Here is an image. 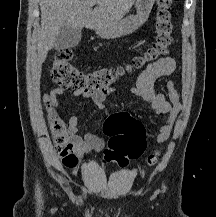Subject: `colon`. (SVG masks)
Returning <instances> with one entry per match:
<instances>
[{
  "label": "colon",
  "mask_w": 216,
  "mask_h": 217,
  "mask_svg": "<svg viewBox=\"0 0 216 217\" xmlns=\"http://www.w3.org/2000/svg\"><path fill=\"white\" fill-rule=\"evenodd\" d=\"M177 0H157L154 41L142 54L135 56L128 65L117 69L102 68L83 71L72 65L73 51L69 48L57 51L51 63V78L65 88L73 90H97L112 85L125 72L138 70L147 64L166 57L173 43L172 6ZM48 122L55 143V149L65 166L73 168L78 159L72 152L64 121L54 111H48ZM105 134L110 137L103 152L105 163L125 166L137 159L146 146V133L143 125L127 113H118L104 123ZM161 157L159 150L147 157V165L154 167Z\"/></svg>",
  "instance_id": "5ec220e1"
}]
</instances>
